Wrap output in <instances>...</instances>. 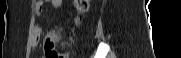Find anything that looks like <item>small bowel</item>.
Segmentation results:
<instances>
[{
    "label": "small bowel",
    "mask_w": 181,
    "mask_h": 58,
    "mask_svg": "<svg viewBox=\"0 0 181 58\" xmlns=\"http://www.w3.org/2000/svg\"><path fill=\"white\" fill-rule=\"evenodd\" d=\"M50 2H51V5H52L53 8H60L62 6V4H63V0H51ZM44 4H45L44 0L36 1V3H35V12H36L37 15L42 14ZM40 34H41V28H40L39 25H36L35 29H34V38H33V42H32L33 47H36L38 45ZM48 37H51V38H53L55 40L57 39V35L54 32L49 33L46 36V38H48Z\"/></svg>",
    "instance_id": "obj_1"
}]
</instances>
